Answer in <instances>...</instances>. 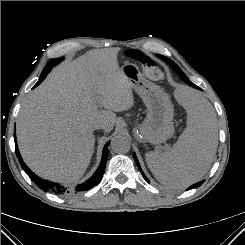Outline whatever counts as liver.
I'll return each mask as SVG.
<instances>
[{"mask_svg": "<svg viewBox=\"0 0 245 245\" xmlns=\"http://www.w3.org/2000/svg\"><path fill=\"white\" fill-rule=\"evenodd\" d=\"M119 51L90 50L56 68L22 104L16 123L18 146L25 163L40 177L78 181L94 151L95 125L101 123L110 132L115 112L133 107L131 83L117 62Z\"/></svg>", "mask_w": 245, "mask_h": 245, "instance_id": "1", "label": "liver"}]
</instances>
